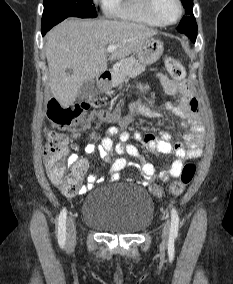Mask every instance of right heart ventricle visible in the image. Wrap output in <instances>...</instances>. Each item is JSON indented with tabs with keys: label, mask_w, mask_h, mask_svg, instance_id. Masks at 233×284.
Masks as SVG:
<instances>
[{
	"label": "right heart ventricle",
	"mask_w": 233,
	"mask_h": 284,
	"mask_svg": "<svg viewBox=\"0 0 233 284\" xmlns=\"http://www.w3.org/2000/svg\"><path fill=\"white\" fill-rule=\"evenodd\" d=\"M103 8L113 18L147 26H160L147 11L146 0H103Z\"/></svg>",
	"instance_id": "e07e8e85"
}]
</instances>
